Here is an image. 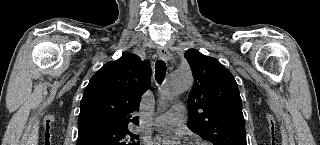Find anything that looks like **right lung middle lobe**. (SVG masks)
I'll return each mask as SVG.
<instances>
[{
    "label": "right lung middle lobe",
    "mask_w": 320,
    "mask_h": 145,
    "mask_svg": "<svg viewBox=\"0 0 320 145\" xmlns=\"http://www.w3.org/2000/svg\"><path fill=\"white\" fill-rule=\"evenodd\" d=\"M128 128L101 129L78 136L77 145H139Z\"/></svg>",
    "instance_id": "1"
}]
</instances>
